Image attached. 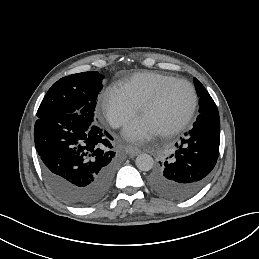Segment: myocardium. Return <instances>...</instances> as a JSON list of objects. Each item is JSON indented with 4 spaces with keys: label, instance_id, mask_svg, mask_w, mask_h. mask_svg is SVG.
Masks as SVG:
<instances>
[{
    "label": "myocardium",
    "instance_id": "obj_1",
    "mask_svg": "<svg viewBox=\"0 0 259 259\" xmlns=\"http://www.w3.org/2000/svg\"><path fill=\"white\" fill-rule=\"evenodd\" d=\"M175 82H183L189 87V89L191 91V95H192L191 104H190L188 111L185 113V115L183 117H181L170 129L163 131L161 133H158V135L161 137H171V136L179 133L193 118V116L196 112L197 106H198V95H197L195 86L189 80H187L185 78L174 76V77L169 78L168 80L164 81L163 83H161L157 87L155 93L143 102V104L141 105L140 115L142 113H144L146 110L157 105L160 102V100L162 99L166 90Z\"/></svg>",
    "mask_w": 259,
    "mask_h": 259
}]
</instances>
